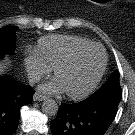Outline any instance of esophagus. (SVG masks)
I'll return each mask as SVG.
<instances>
[{"instance_id":"obj_1","label":"esophagus","mask_w":135,"mask_h":135,"mask_svg":"<svg viewBox=\"0 0 135 135\" xmlns=\"http://www.w3.org/2000/svg\"><path fill=\"white\" fill-rule=\"evenodd\" d=\"M46 96L45 95H43V94H40V93H38V92H36L35 94H34V96H33V100L34 101H44V100H46Z\"/></svg>"}]
</instances>
